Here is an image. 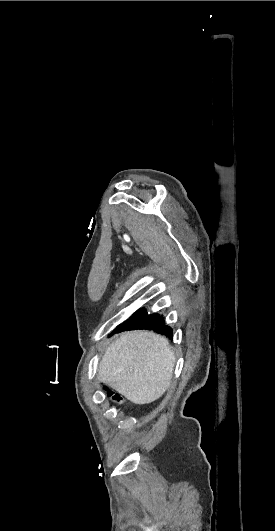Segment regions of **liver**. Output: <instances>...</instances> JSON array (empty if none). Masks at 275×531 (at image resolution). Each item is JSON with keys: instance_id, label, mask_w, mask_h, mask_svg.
Instances as JSON below:
<instances>
[{"instance_id": "1", "label": "liver", "mask_w": 275, "mask_h": 531, "mask_svg": "<svg viewBox=\"0 0 275 531\" xmlns=\"http://www.w3.org/2000/svg\"><path fill=\"white\" fill-rule=\"evenodd\" d=\"M175 355L166 337L153 331H129L107 347L99 381L135 405H148L171 385Z\"/></svg>"}]
</instances>
